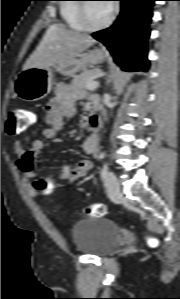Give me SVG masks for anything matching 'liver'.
<instances>
[{
  "label": "liver",
  "instance_id": "obj_1",
  "mask_svg": "<svg viewBox=\"0 0 180 299\" xmlns=\"http://www.w3.org/2000/svg\"><path fill=\"white\" fill-rule=\"evenodd\" d=\"M96 42L91 36L52 24L46 30L35 51L29 56L23 69L48 68L77 57Z\"/></svg>",
  "mask_w": 180,
  "mask_h": 299
}]
</instances>
